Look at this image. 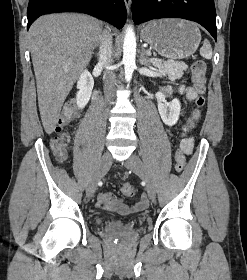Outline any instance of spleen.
<instances>
[{
  "label": "spleen",
  "mask_w": 247,
  "mask_h": 280,
  "mask_svg": "<svg viewBox=\"0 0 247 280\" xmlns=\"http://www.w3.org/2000/svg\"><path fill=\"white\" fill-rule=\"evenodd\" d=\"M200 55L205 59L212 58V48L207 39H205L203 42V46L200 49Z\"/></svg>",
  "instance_id": "obj_1"
}]
</instances>
